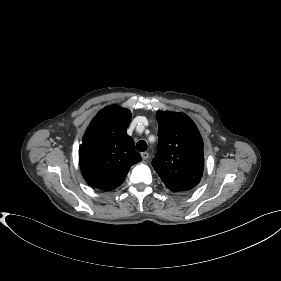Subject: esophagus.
I'll use <instances>...</instances> for the list:
<instances>
[{"label": "esophagus", "instance_id": "obj_1", "mask_svg": "<svg viewBox=\"0 0 281 281\" xmlns=\"http://www.w3.org/2000/svg\"><path fill=\"white\" fill-rule=\"evenodd\" d=\"M141 157L143 160H147L149 158V153L148 152H142Z\"/></svg>", "mask_w": 281, "mask_h": 281}]
</instances>
